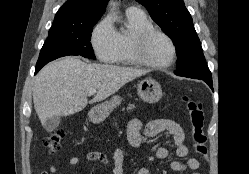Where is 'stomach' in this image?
Returning a JSON list of instances; mask_svg holds the SVG:
<instances>
[{"label": "stomach", "mask_w": 249, "mask_h": 174, "mask_svg": "<svg viewBox=\"0 0 249 174\" xmlns=\"http://www.w3.org/2000/svg\"><path fill=\"white\" fill-rule=\"evenodd\" d=\"M139 97L148 103H156L162 97V89L159 83L153 79H144L138 86ZM122 101L120 96H114L110 101L103 102L93 107L89 112V119L94 123H99L106 119L108 115L116 108Z\"/></svg>", "instance_id": "0dacf381"}]
</instances>
